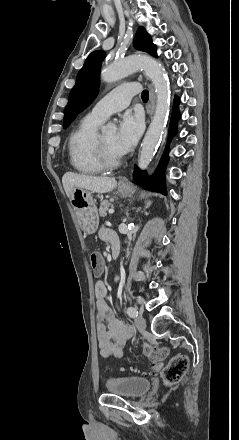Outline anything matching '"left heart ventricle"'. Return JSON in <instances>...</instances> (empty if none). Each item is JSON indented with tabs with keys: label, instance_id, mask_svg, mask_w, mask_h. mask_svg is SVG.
I'll use <instances>...</instances> for the list:
<instances>
[{
	"label": "left heart ventricle",
	"instance_id": "b2bd125f",
	"mask_svg": "<svg viewBox=\"0 0 239 440\" xmlns=\"http://www.w3.org/2000/svg\"><path fill=\"white\" fill-rule=\"evenodd\" d=\"M102 141L106 149L114 155H117V152L114 148V140H115V133L108 131L101 133Z\"/></svg>",
	"mask_w": 239,
	"mask_h": 440
}]
</instances>
